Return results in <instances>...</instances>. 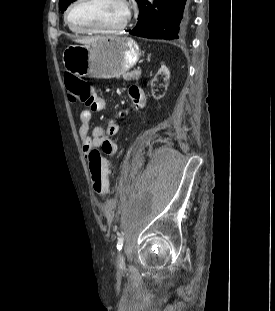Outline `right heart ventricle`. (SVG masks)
I'll return each mask as SVG.
<instances>
[{"label":"right heart ventricle","mask_w":275,"mask_h":311,"mask_svg":"<svg viewBox=\"0 0 275 311\" xmlns=\"http://www.w3.org/2000/svg\"><path fill=\"white\" fill-rule=\"evenodd\" d=\"M71 31H73V30H71ZM73 32H75V31H73ZM75 33H80V32H75Z\"/></svg>","instance_id":"e07e8e85"}]
</instances>
